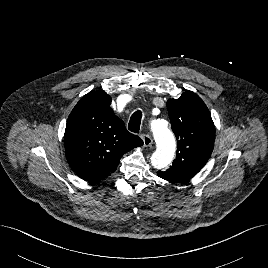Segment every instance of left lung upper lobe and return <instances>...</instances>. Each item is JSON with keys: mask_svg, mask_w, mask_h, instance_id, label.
Returning <instances> with one entry per match:
<instances>
[{"mask_svg": "<svg viewBox=\"0 0 268 268\" xmlns=\"http://www.w3.org/2000/svg\"><path fill=\"white\" fill-rule=\"evenodd\" d=\"M171 127L176 135V159L157 175L170 182H185L195 176L209 159L215 140V127L202 99L192 91L167 101Z\"/></svg>", "mask_w": 268, "mask_h": 268, "instance_id": "obj_1", "label": "left lung upper lobe"}]
</instances>
